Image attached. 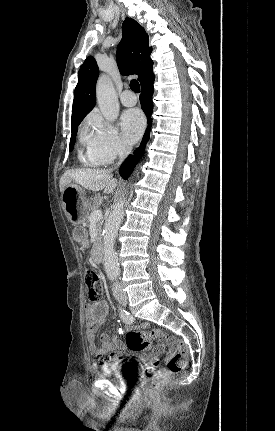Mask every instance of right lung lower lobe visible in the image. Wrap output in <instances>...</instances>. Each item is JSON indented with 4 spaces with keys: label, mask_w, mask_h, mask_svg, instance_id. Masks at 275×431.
Instances as JSON below:
<instances>
[{
    "label": "right lung lower lobe",
    "mask_w": 275,
    "mask_h": 431,
    "mask_svg": "<svg viewBox=\"0 0 275 431\" xmlns=\"http://www.w3.org/2000/svg\"><path fill=\"white\" fill-rule=\"evenodd\" d=\"M154 78L155 77H153L150 81H148L146 84L142 86L140 102H141V107L147 116L148 128L144 134L141 146L134 152L135 156L131 157L130 155L120 167V174L123 179H127L132 173L135 165L138 163V159L141 158L144 151L145 144L149 139L150 129L152 125L151 115L153 111L152 95L154 91V88H153Z\"/></svg>",
    "instance_id": "98d812e1"
}]
</instances>
